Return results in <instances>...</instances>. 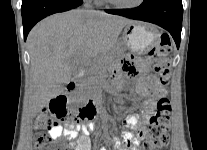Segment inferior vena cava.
Instances as JSON below:
<instances>
[{"instance_id":"602c4592","label":"inferior vena cava","mask_w":207,"mask_h":150,"mask_svg":"<svg viewBox=\"0 0 207 150\" xmlns=\"http://www.w3.org/2000/svg\"><path fill=\"white\" fill-rule=\"evenodd\" d=\"M84 6L85 8H91V0H86Z\"/></svg>"}]
</instances>
